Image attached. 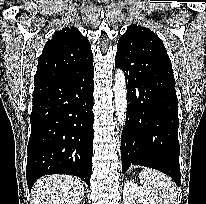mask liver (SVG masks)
Listing matches in <instances>:
<instances>
[{
  "instance_id": "6515ba94",
  "label": "liver",
  "mask_w": 206,
  "mask_h": 204,
  "mask_svg": "<svg viewBox=\"0 0 206 204\" xmlns=\"http://www.w3.org/2000/svg\"><path fill=\"white\" fill-rule=\"evenodd\" d=\"M84 183L78 177L47 175L33 186V204H79L84 197Z\"/></svg>"
}]
</instances>
